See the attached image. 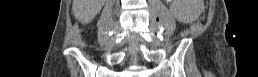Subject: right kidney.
<instances>
[{
	"label": "right kidney",
	"mask_w": 258,
	"mask_h": 77,
	"mask_svg": "<svg viewBox=\"0 0 258 77\" xmlns=\"http://www.w3.org/2000/svg\"><path fill=\"white\" fill-rule=\"evenodd\" d=\"M99 2H102V3H100V4L97 5V6L91 7V9H90V18L94 17L97 13L100 12L104 0H99Z\"/></svg>",
	"instance_id": "ca27d5eb"
}]
</instances>
